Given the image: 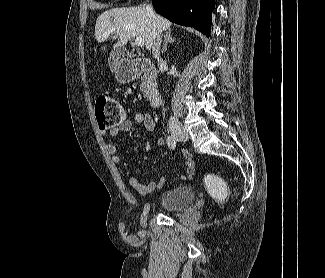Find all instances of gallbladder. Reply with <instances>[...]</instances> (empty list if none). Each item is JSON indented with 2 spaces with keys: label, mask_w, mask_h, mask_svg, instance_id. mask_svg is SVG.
Listing matches in <instances>:
<instances>
[{
  "label": "gallbladder",
  "mask_w": 325,
  "mask_h": 278,
  "mask_svg": "<svg viewBox=\"0 0 325 278\" xmlns=\"http://www.w3.org/2000/svg\"><path fill=\"white\" fill-rule=\"evenodd\" d=\"M121 57H127L132 59L134 55L123 47L120 46L115 47L110 53V58H109V66L111 71H116L117 63Z\"/></svg>",
  "instance_id": "1"
}]
</instances>
